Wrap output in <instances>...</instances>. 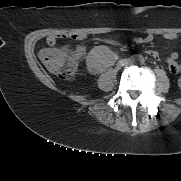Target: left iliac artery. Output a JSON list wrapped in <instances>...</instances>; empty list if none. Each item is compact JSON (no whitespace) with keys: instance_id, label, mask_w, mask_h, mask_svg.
I'll use <instances>...</instances> for the list:
<instances>
[{"instance_id":"1","label":"left iliac artery","mask_w":181,"mask_h":181,"mask_svg":"<svg viewBox=\"0 0 181 181\" xmlns=\"http://www.w3.org/2000/svg\"><path fill=\"white\" fill-rule=\"evenodd\" d=\"M144 62H145L144 59L141 58V59H140V63H141V64H144Z\"/></svg>"}]
</instances>
